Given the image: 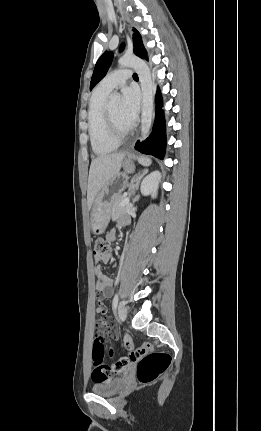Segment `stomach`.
I'll use <instances>...</instances> for the list:
<instances>
[{"label":"stomach","instance_id":"stomach-1","mask_svg":"<svg viewBox=\"0 0 261 431\" xmlns=\"http://www.w3.org/2000/svg\"><path fill=\"white\" fill-rule=\"evenodd\" d=\"M122 167L124 171L107 183L95 199L91 214V229L96 235L105 231L110 220L112 202L127 186V174L135 170L132 157L125 158Z\"/></svg>","mask_w":261,"mask_h":431}]
</instances>
